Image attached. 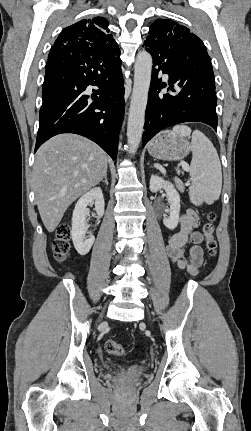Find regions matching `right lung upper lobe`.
Returning <instances> with one entry per match:
<instances>
[{
	"instance_id": "obj_1",
	"label": "right lung upper lobe",
	"mask_w": 251,
	"mask_h": 431,
	"mask_svg": "<svg viewBox=\"0 0 251 431\" xmlns=\"http://www.w3.org/2000/svg\"><path fill=\"white\" fill-rule=\"evenodd\" d=\"M61 49L75 56L100 59L107 65L120 60V49L103 17L84 19L66 27L56 39L49 55Z\"/></svg>"
}]
</instances>
